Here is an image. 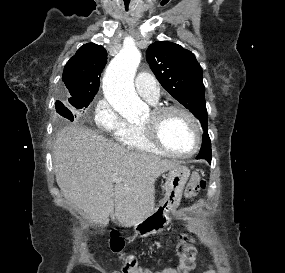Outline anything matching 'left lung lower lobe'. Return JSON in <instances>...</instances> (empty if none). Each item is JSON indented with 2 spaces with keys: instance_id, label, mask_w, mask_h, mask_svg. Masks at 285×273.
Masks as SVG:
<instances>
[{
  "instance_id": "1",
  "label": "left lung lower lobe",
  "mask_w": 285,
  "mask_h": 273,
  "mask_svg": "<svg viewBox=\"0 0 285 273\" xmlns=\"http://www.w3.org/2000/svg\"><path fill=\"white\" fill-rule=\"evenodd\" d=\"M198 159L204 158L208 160L209 163H211V142L210 138L208 135V131L205 130L204 135H203V142H202V147L200 150V153L197 156Z\"/></svg>"
}]
</instances>
